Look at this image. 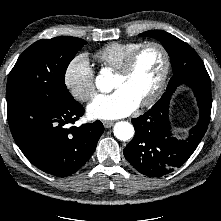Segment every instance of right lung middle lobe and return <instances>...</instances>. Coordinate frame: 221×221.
Returning a JSON list of instances; mask_svg holds the SVG:
<instances>
[{"label": "right lung middle lobe", "mask_w": 221, "mask_h": 221, "mask_svg": "<svg viewBox=\"0 0 221 221\" xmlns=\"http://www.w3.org/2000/svg\"><path fill=\"white\" fill-rule=\"evenodd\" d=\"M83 39L60 36L42 39L28 47L8 76L7 102L26 97L43 101L72 99L65 85L66 69L83 45Z\"/></svg>", "instance_id": "right-lung-middle-lobe-1"}]
</instances>
